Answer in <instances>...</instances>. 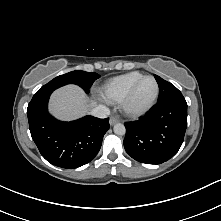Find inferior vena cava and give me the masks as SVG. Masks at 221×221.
Masks as SVG:
<instances>
[{"label": "inferior vena cava", "mask_w": 221, "mask_h": 221, "mask_svg": "<svg viewBox=\"0 0 221 221\" xmlns=\"http://www.w3.org/2000/svg\"><path fill=\"white\" fill-rule=\"evenodd\" d=\"M91 114L97 118H107L110 114V110L104 105H99L92 109Z\"/></svg>", "instance_id": "obj_1"}]
</instances>
